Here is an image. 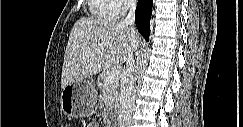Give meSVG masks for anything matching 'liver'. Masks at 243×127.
<instances>
[{
    "label": "liver",
    "mask_w": 243,
    "mask_h": 127,
    "mask_svg": "<svg viewBox=\"0 0 243 127\" xmlns=\"http://www.w3.org/2000/svg\"><path fill=\"white\" fill-rule=\"evenodd\" d=\"M137 31L110 19L80 18L72 27L64 54L61 87L127 61L140 43Z\"/></svg>",
    "instance_id": "obj_1"
}]
</instances>
